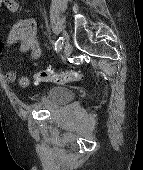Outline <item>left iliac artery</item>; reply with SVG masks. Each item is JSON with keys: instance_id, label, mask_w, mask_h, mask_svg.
<instances>
[{"instance_id": "44dca946", "label": "left iliac artery", "mask_w": 143, "mask_h": 170, "mask_svg": "<svg viewBox=\"0 0 143 170\" xmlns=\"http://www.w3.org/2000/svg\"><path fill=\"white\" fill-rule=\"evenodd\" d=\"M63 44V37H59L58 40L55 42V50L59 51Z\"/></svg>"}]
</instances>
